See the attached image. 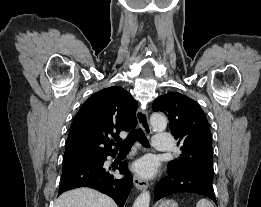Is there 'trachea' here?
<instances>
[{
    "label": "trachea",
    "mask_w": 261,
    "mask_h": 207,
    "mask_svg": "<svg viewBox=\"0 0 261 207\" xmlns=\"http://www.w3.org/2000/svg\"><path fill=\"white\" fill-rule=\"evenodd\" d=\"M136 140H138L143 146L150 147L149 141L141 128L130 131L124 141L114 144V146L118 148L120 153L128 152Z\"/></svg>",
    "instance_id": "3493384b"
}]
</instances>
